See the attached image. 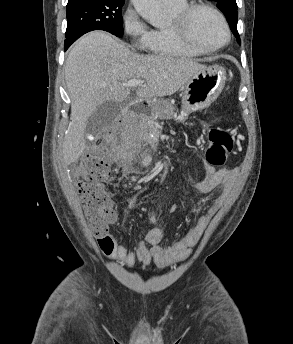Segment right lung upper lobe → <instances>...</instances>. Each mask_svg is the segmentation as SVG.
Masks as SVG:
<instances>
[{"mask_svg":"<svg viewBox=\"0 0 293 344\" xmlns=\"http://www.w3.org/2000/svg\"><path fill=\"white\" fill-rule=\"evenodd\" d=\"M78 1H80V0H68V3L71 4V3H76Z\"/></svg>","mask_w":293,"mask_h":344,"instance_id":"obj_1","label":"right lung upper lobe"}]
</instances>
